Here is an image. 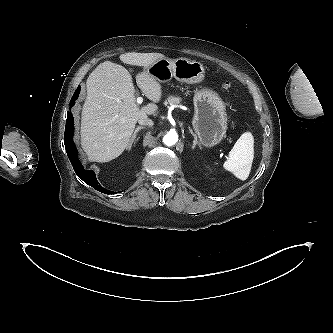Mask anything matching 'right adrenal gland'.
Returning a JSON list of instances; mask_svg holds the SVG:
<instances>
[{
  "instance_id": "1",
  "label": "right adrenal gland",
  "mask_w": 333,
  "mask_h": 333,
  "mask_svg": "<svg viewBox=\"0 0 333 333\" xmlns=\"http://www.w3.org/2000/svg\"><path fill=\"white\" fill-rule=\"evenodd\" d=\"M141 129H144V127H143V126H138V127L135 129V131H134V133H133V135H132V137H131V139H130V141H129V144H128V146H127V149H128V150L131 149V147H132V145H133V143H134V141H135V139H136L137 133H138V131H140Z\"/></svg>"
}]
</instances>
